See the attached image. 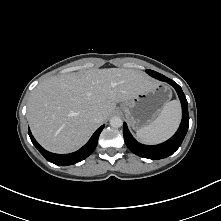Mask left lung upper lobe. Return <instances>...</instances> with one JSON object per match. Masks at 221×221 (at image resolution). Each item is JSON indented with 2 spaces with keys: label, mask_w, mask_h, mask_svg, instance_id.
Masks as SVG:
<instances>
[{
  "label": "left lung upper lobe",
  "mask_w": 221,
  "mask_h": 221,
  "mask_svg": "<svg viewBox=\"0 0 221 221\" xmlns=\"http://www.w3.org/2000/svg\"><path fill=\"white\" fill-rule=\"evenodd\" d=\"M146 72L151 75L152 77L156 78V79H161V77H163L164 75L158 73V72H155L153 70H146Z\"/></svg>",
  "instance_id": "left-lung-upper-lobe-1"
}]
</instances>
